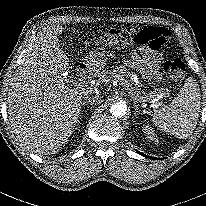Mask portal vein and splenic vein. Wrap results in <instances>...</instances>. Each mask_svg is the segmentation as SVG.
Wrapping results in <instances>:
<instances>
[{"instance_id":"1","label":"portal vein and splenic vein","mask_w":206,"mask_h":206,"mask_svg":"<svg viewBox=\"0 0 206 206\" xmlns=\"http://www.w3.org/2000/svg\"><path fill=\"white\" fill-rule=\"evenodd\" d=\"M122 84L126 85L127 87H129V85H130V83H129L128 81H126V80H123V81H122ZM75 85H76L78 88H80V87H83V86H84V83H83L82 81H80L79 83H76ZM131 91H132V90H131ZM136 98H137L138 100L141 99L140 96H136Z\"/></svg>"}]
</instances>
